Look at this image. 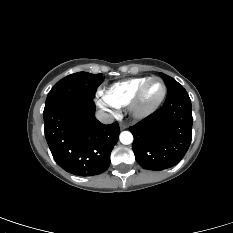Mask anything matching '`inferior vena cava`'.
I'll return each mask as SVG.
<instances>
[{
	"mask_svg": "<svg viewBox=\"0 0 233 233\" xmlns=\"http://www.w3.org/2000/svg\"><path fill=\"white\" fill-rule=\"evenodd\" d=\"M96 118L100 122H102L103 124H111V123L114 122V118L111 115H109V114H107V113H105L103 111H98L96 113Z\"/></svg>",
	"mask_w": 233,
	"mask_h": 233,
	"instance_id": "1",
	"label": "inferior vena cava"
}]
</instances>
